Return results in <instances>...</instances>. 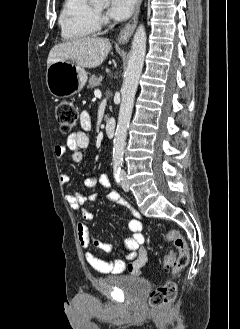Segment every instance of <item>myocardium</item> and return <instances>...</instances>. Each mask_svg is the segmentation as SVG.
Returning <instances> with one entry per match:
<instances>
[{
	"label": "myocardium",
	"instance_id": "myocardium-1",
	"mask_svg": "<svg viewBox=\"0 0 240 329\" xmlns=\"http://www.w3.org/2000/svg\"><path fill=\"white\" fill-rule=\"evenodd\" d=\"M95 10H96L97 14H99V13H100V11H99V10H97V9H95Z\"/></svg>",
	"mask_w": 240,
	"mask_h": 329
}]
</instances>
